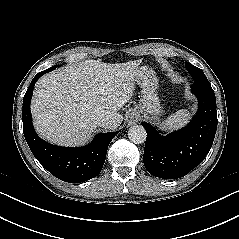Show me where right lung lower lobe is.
<instances>
[{
  "label": "right lung lower lobe",
  "instance_id": "1",
  "mask_svg": "<svg viewBox=\"0 0 239 239\" xmlns=\"http://www.w3.org/2000/svg\"><path fill=\"white\" fill-rule=\"evenodd\" d=\"M49 71L36 74L23 98L24 136L34 157L52 175L69 183L85 182L101 172L108 145L118 132L98 134L89 145L79 148L60 147L40 139L32 125L30 101L36 81Z\"/></svg>",
  "mask_w": 239,
  "mask_h": 239
}]
</instances>
